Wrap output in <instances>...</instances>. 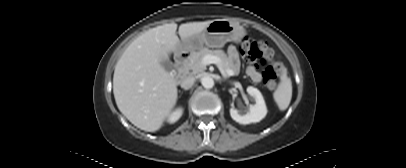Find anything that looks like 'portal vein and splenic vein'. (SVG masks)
Masks as SVG:
<instances>
[{"label": "portal vein and splenic vein", "instance_id": "obj_1", "mask_svg": "<svg viewBox=\"0 0 406 168\" xmlns=\"http://www.w3.org/2000/svg\"><path fill=\"white\" fill-rule=\"evenodd\" d=\"M202 63H203L205 66H206V65H209V64H216V65L218 66V68H219L221 74H222L224 77H227V76L230 77V76H233V75H234V72H233L231 69H228V70L225 71V70L222 68V66H221V64H220V59H219L218 57H216V56L206 55V56L203 57Z\"/></svg>", "mask_w": 406, "mask_h": 168}]
</instances>
